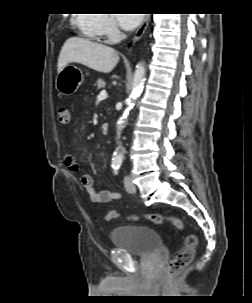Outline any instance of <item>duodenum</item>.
I'll list each match as a JSON object with an SVG mask.
<instances>
[{"label": "duodenum", "mask_w": 252, "mask_h": 303, "mask_svg": "<svg viewBox=\"0 0 252 303\" xmlns=\"http://www.w3.org/2000/svg\"><path fill=\"white\" fill-rule=\"evenodd\" d=\"M109 123L108 122H106V123H103L102 125H101V127H100V132H101V134H107L108 133V131H109Z\"/></svg>", "instance_id": "1"}]
</instances>
